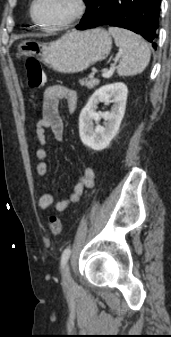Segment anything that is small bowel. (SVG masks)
Returning <instances> with one entry per match:
<instances>
[{
	"instance_id": "1",
	"label": "small bowel",
	"mask_w": 171,
	"mask_h": 337,
	"mask_svg": "<svg viewBox=\"0 0 171 337\" xmlns=\"http://www.w3.org/2000/svg\"><path fill=\"white\" fill-rule=\"evenodd\" d=\"M64 100L67 104L68 110L72 113L76 110L78 104V96L76 91L67 88L64 85H53L45 90L42 116L36 123V137L38 141V149L36 156L38 159L37 173L44 177L48 172V166L45 162L47 152L45 149L47 138L45 131L49 132L51 139L59 141L63 137V121L59 111V103ZM95 170L91 167H86L80 180L74 185L73 191L68 198L61 199L54 204L55 195L52 193H44L38 200V206L41 209H47L54 204L57 211H63L71 205L77 204L85 189L94 187L95 184Z\"/></svg>"
}]
</instances>
